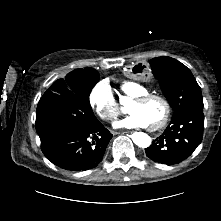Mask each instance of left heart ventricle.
I'll return each instance as SVG.
<instances>
[{
	"label": "left heart ventricle",
	"instance_id": "1",
	"mask_svg": "<svg viewBox=\"0 0 221 221\" xmlns=\"http://www.w3.org/2000/svg\"><path fill=\"white\" fill-rule=\"evenodd\" d=\"M128 111L130 113L139 114L145 119L148 126H154L164 116L165 106L160 100L152 99L144 104L132 103Z\"/></svg>",
	"mask_w": 221,
	"mask_h": 221
}]
</instances>
